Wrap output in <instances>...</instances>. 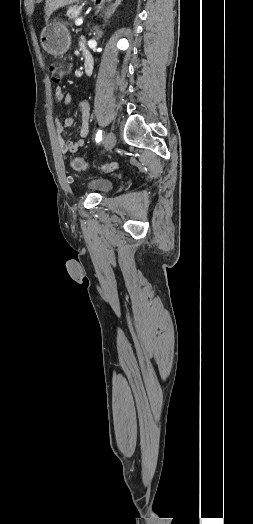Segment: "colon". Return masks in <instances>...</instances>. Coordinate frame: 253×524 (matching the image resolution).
Returning <instances> with one entry per match:
<instances>
[{"label":"colon","instance_id":"1","mask_svg":"<svg viewBox=\"0 0 253 524\" xmlns=\"http://www.w3.org/2000/svg\"><path fill=\"white\" fill-rule=\"evenodd\" d=\"M49 71L51 73V78L54 82H59L67 74V67L58 61H52L49 64ZM71 165L75 170H86L89 168V164L84 161L82 158H72ZM117 167L115 163L105 164L101 166V169L104 171H110Z\"/></svg>","mask_w":253,"mask_h":524}]
</instances>
